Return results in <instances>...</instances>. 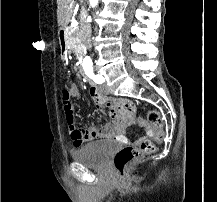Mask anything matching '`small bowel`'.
<instances>
[{
    "label": "small bowel",
    "mask_w": 217,
    "mask_h": 202,
    "mask_svg": "<svg viewBox=\"0 0 217 202\" xmlns=\"http://www.w3.org/2000/svg\"><path fill=\"white\" fill-rule=\"evenodd\" d=\"M89 94L93 98L97 109L102 110L105 106L107 119L110 121L101 128H77L73 127L71 136L72 147H83V144L109 138L121 144L138 145L141 141L154 137V128H145V136L138 141H131L125 135L126 126H132V120L137 118L134 101H107L104 93L95 85L89 87ZM71 98H80L79 87L72 83L70 89ZM77 141V142H75Z\"/></svg>",
    "instance_id": "small-bowel-1"
}]
</instances>
